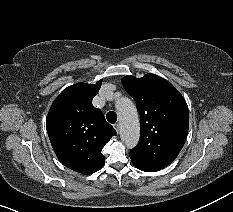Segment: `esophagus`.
Segmentation results:
<instances>
[{
  "label": "esophagus",
  "instance_id": "1",
  "mask_svg": "<svg viewBox=\"0 0 233 212\" xmlns=\"http://www.w3.org/2000/svg\"><path fill=\"white\" fill-rule=\"evenodd\" d=\"M113 127H114V129L117 131V133H119V131H120L119 124L116 123V124L113 125Z\"/></svg>",
  "mask_w": 233,
  "mask_h": 212
}]
</instances>
